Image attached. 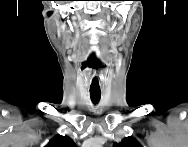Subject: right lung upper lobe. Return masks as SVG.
I'll return each mask as SVG.
<instances>
[{
    "mask_svg": "<svg viewBox=\"0 0 188 147\" xmlns=\"http://www.w3.org/2000/svg\"><path fill=\"white\" fill-rule=\"evenodd\" d=\"M75 144L68 136H56L46 145V147H74Z\"/></svg>",
    "mask_w": 188,
    "mask_h": 147,
    "instance_id": "cb5924a9",
    "label": "right lung upper lobe"
}]
</instances>
